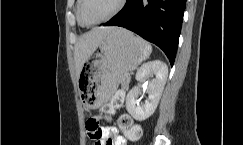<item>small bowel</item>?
I'll return each instance as SVG.
<instances>
[{
  "label": "small bowel",
  "mask_w": 243,
  "mask_h": 145,
  "mask_svg": "<svg viewBox=\"0 0 243 145\" xmlns=\"http://www.w3.org/2000/svg\"><path fill=\"white\" fill-rule=\"evenodd\" d=\"M109 120V118H106ZM88 136L95 141L94 145H127V139L119 134L118 128L115 126H106L100 128L99 138Z\"/></svg>",
  "instance_id": "1"
}]
</instances>
